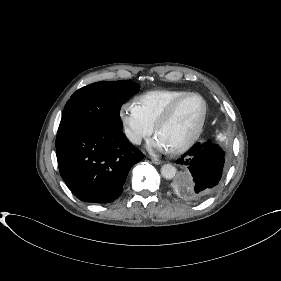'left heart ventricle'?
<instances>
[{
    "label": "left heart ventricle",
    "instance_id": "left-heart-ventricle-1",
    "mask_svg": "<svg viewBox=\"0 0 281 281\" xmlns=\"http://www.w3.org/2000/svg\"><path fill=\"white\" fill-rule=\"evenodd\" d=\"M203 111L199 98L189 97L179 104L171 118L161 127L157 138L166 149L186 142L196 130Z\"/></svg>",
    "mask_w": 281,
    "mask_h": 281
}]
</instances>
